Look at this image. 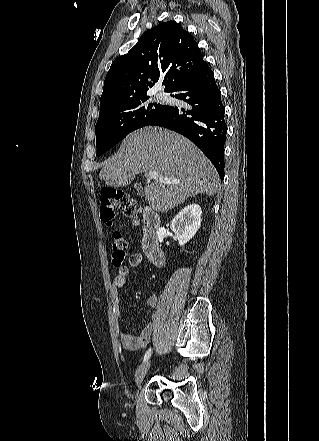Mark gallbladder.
Wrapping results in <instances>:
<instances>
[{
	"instance_id": "gallbladder-1",
	"label": "gallbladder",
	"mask_w": 319,
	"mask_h": 441,
	"mask_svg": "<svg viewBox=\"0 0 319 441\" xmlns=\"http://www.w3.org/2000/svg\"><path fill=\"white\" fill-rule=\"evenodd\" d=\"M134 187L137 189L139 193L142 192V186L140 184H135Z\"/></svg>"
}]
</instances>
